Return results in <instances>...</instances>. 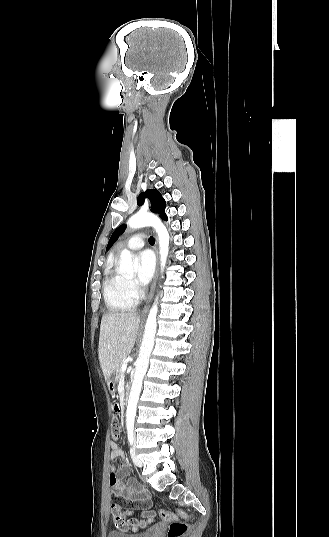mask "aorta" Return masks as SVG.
I'll return each mask as SVG.
<instances>
[{"label":"aorta","instance_id":"762f6f07","mask_svg":"<svg viewBox=\"0 0 329 537\" xmlns=\"http://www.w3.org/2000/svg\"><path fill=\"white\" fill-rule=\"evenodd\" d=\"M128 226L132 229H138L146 226H152L155 228L159 237L161 270L163 271L169 252L170 237L162 221L151 213L138 212L128 220ZM136 267V260H133L130 251L124 249L120 256V271L123 273H133ZM157 301L158 298L155 299V302L153 303L148 314L139 356L135 362L134 379L126 411V426L128 428H132L134 425L136 407L142 388V381L146 374L149 358L154 347V340L157 330Z\"/></svg>","mask_w":329,"mask_h":537}]
</instances>
